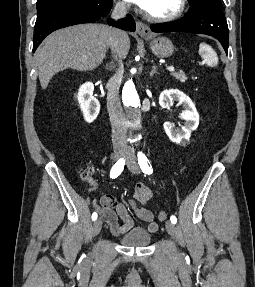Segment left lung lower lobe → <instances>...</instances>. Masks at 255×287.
Instances as JSON below:
<instances>
[{
  "instance_id": "obj_1",
  "label": "left lung lower lobe",
  "mask_w": 255,
  "mask_h": 287,
  "mask_svg": "<svg viewBox=\"0 0 255 287\" xmlns=\"http://www.w3.org/2000/svg\"><path fill=\"white\" fill-rule=\"evenodd\" d=\"M154 32H188L211 35L218 39L228 53L229 30L224 13L220 7L209 3L192 5L185 17L178 21L152 24Z\"/></svg>"
}]
</instances>
